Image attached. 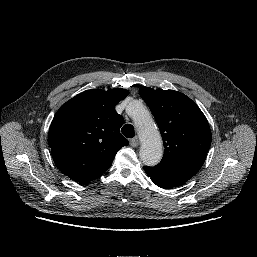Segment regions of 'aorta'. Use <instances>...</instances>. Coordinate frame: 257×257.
I'll return each instance as SVG.
<instances>
[{
  "instance_id": "obj_1",
  "label": "aorta",
  "mask_w": 257,
  "mask_h": 257,
  "mask_svg": "<svg viewBox=\"0 0 257 257\" xmlns=\"http://www.w3.org/2000/svg\"><path fill=\"white\" fill-rule=\"evenodd\" d=\"M127 111L136 121L138 134L141 139L140 159L147 166L157 165L163 155L162 142L160 134L155 123L147 115L142 103L133 101L127 107ZM147 116L142 118V115Z\"/></svg>"
}]
</instances>
